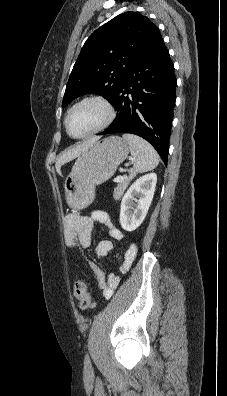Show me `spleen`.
<instances>
[{
	"instance_id": "spleen-1",
	"label": "spleen",
	"mask_w": 227,
	"mask_h": 396,
	"mask_svg": "<svg viewBox=\"0 0 227 396\" xmlns=\"http://www.w3.org/2000/svg\"><path fill=\"white\" fill-rule=\"evenodd\" d=\"M123 138L129 144L135 172H147L158 165L159 156L147 141L133 134H123Z\"/></svg>"
}]
</instances>
